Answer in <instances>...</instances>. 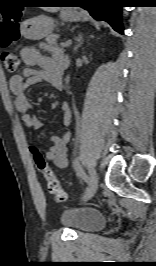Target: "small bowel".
Instances as JSON below:
<instances>
[{"label":"small bowel","instance_id":"c3829d8e","mask_svg":"<svg viewBox=\"0 0 156 266\" xmlns=\"http://www.w3.org/2000/svg\"><path fill=\"white\" fill-rule=\"evenodd\" d=\"M21 58L26 65L20 74L12 76L9 80V88L15 99L14 104L22 116L24 124L32 129L42 127V122L31 112L26 91L31 85L48 82L54 88L63 89L64 63L67 58L59 50H52L51 57L43 55L35 47H24L20 51ZM62 123L66 130L61 135L49 137L52 145L45 154L48 161H52L58 168H66L68 165L67 148L71 139V133L67 129L72 121V113L67 103L61 105Z\"/></svg>","mask_w":156,"mask_h":266}]
</instances>
